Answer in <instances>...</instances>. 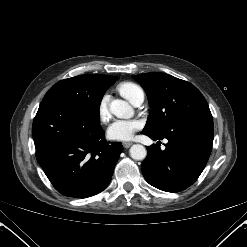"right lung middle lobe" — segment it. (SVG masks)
Returning a JSON list of instances; mask_svg holds the SVG:
<instances>
[{
    "instance_id": "dd1d6c3e",
    "label": "right lung middle lobe",
    "mask_w": 247,
    "mask_h": 247,
    "mask_svg": "<svg viewBox=\"0 0 247 247\" xmlns=\"http://www.w3.org/2000/svg\"><path fill=\"white\" fill-rule=\"evenodd\" d=\"M108 88L95 74L79 75L57 82L41 103L63 102L99 115L100 102Z\"/></svg>"
}]
</instances>
